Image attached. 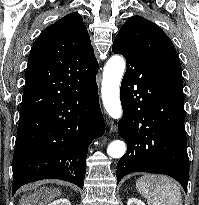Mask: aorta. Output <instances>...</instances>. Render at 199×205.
I'll use <instances>...</instances> for the list:
<instances>
[{
  "instance_id": "1",
  "label": "aorta",
  "mask_w": 199,
  "mask_h": 205,
  "mask_svg": "<svg viewBox=\"0 0 199 205\" xmlns=\"http://www.w3.org/2000/svg\"><path fill=\"white\" fill-rule=\"evenodd\" d=\"M125 61L119 55L112 56L106 63L102 80V100L107 113L114 119L122 116L119 88L124 74ZM126 152V145L121 140L110 143L107 154L112 158H120Z\"/></svg>"
}]
</instances>
